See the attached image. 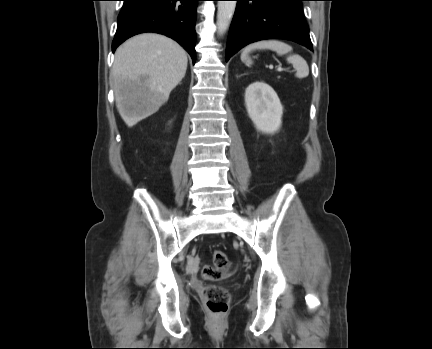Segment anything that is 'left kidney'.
Masks as SVG:
<instances>
[{
  "label": "left kidney",
  "instance_id": "1",
  "mask_svg": "<svg viewBox=\"0 0 432 349\" xmlns=\"http://www.w3.org/2000/svg\"><path fill=\"white\" fill-rule=\"evenodd\" d=\"M248 116L262 133L272 134L281 126L283 107L274 89L264 81H256L245 90Z\"/></svg>",
  "mask_w": 432,
  "mask_h": 349
}]
</instances>
